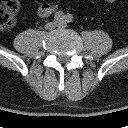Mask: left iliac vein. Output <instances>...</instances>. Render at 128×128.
<instances>
[{"label": "left iliac vein", "mask_w": 128, "mask_h": 128, "mask_svg": "<svg viewBox=\"0 0 128 128\" xmlns=\"http://www.w3.org/2000/svg\"><path fill=\"white\" fill-rule=\"evenodd\" d=\"M57 24H58L59 28H65L66 27L65 21H58Z\"/></svg>", "instance_id": "left-iliac-vein-1"}]
</instances>
